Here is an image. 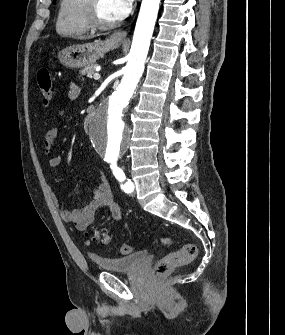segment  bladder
Masks as SVG:
<instances>
[{"label":"bladder","mask_w":285,"mask_h":335,"mask_svg":"<svg viewBox=\"0 0 285 335\" xmlns=\"http://www.w3.org/2000/svg\"><path fill=\"white\" fill-rule=\"evenodd\" d=\"M148 257V251L144 248L124 256L93 258L92 263L102 268L106 273H131L137 271L140 265H144Z\"/></svg>","instance_id":"31cf9c89"}]
</instances>
